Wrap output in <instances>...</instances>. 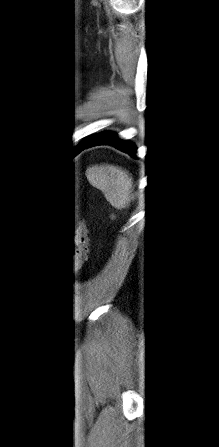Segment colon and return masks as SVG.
<instances>
[{"label": "colon", "instance_id": "colon-1", "mask_svg": "<svg viewBox=\"0 0 219 447\" xmlns=\"http://www.w3.org/2000/svg\"><path fill=\"white\" fill-rule=\"evenodd\" d=\"M77 235L80 240L79 251H78V254H77V257H76L74 263L71 265V267L69 269L70 275H73L76 273V271L82 265L85 255H86L85 240L87 237V222L84 218L81 219L78 223Z\"/></svg>", "mask_w": 219, "mask_h": 447}]
</instances>
